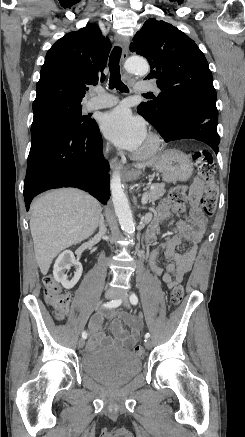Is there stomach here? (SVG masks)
Masks as SVG:
<instances>
[{"mask_svg": "<svg viewBox=\"0 0 245 437\" xmlns=\"http://www.w3.org/2000/svg\"><path fill=\"white\" fill-rule=\"evenodd\" d=\"M152 168L162 174L167 183L186 181L193 173V163L190 158L178 150H166L159 154L151 164ZM141 174L140 170H133L128 180H134Z\"/></svg>", "mask_w": 245, "mask_h": 437, "instance_id": "stomach-1", "label": "stomach"}]
</instances>
